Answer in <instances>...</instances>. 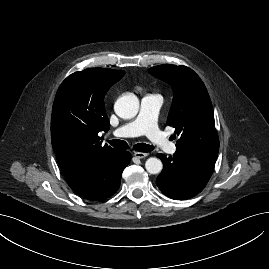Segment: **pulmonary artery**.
Wrapping results in <instances>:
<instances>
[{"label": "pulmonary artery", "instance_id": "pulmonary-artery-1", "mask_svg": "<svg viewBox=\"0 0 269 269\" xmlns=\"http://www.w3.org/2000/svg\"><path fill=\"white\" fill-rule=\"evenodd\" d=\"M162 103L163 99L160 95L149 94L144 96L141 99L138 115L117 128L113 134L117 137L146 135L157 147L174 154L177 151L176 144L168 140L156 123Z\"/></svg>", "mask_w": 269, "mask_h": 269}]
</instances>
